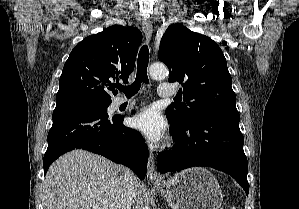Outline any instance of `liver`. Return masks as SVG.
<instances>
[{"label": "liver", "mask_w": 299, "mask_h": 209, "mask_svg": "<svg viewBox=\"0 0 299 209\" xmlns=\"http://www.w3.org/2000/svg\"><path fill=\"white\" fill-rule=\"evenodd\" d=\"M123 167L87 152L73 150L49 168L43 183L44 209H117L123 189ZM139 181L132 185L137 198Z\"/></svg>", "instance_id": "obj_1"}]
</instances>
